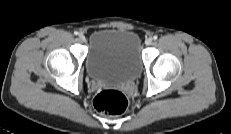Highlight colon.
Returning <instances> with one entry per match:
<instances>
[{
  "label": "colon",
  "instance_id": "5ec220e1",
  "mask_svg": "<svg viewBox=\"0 0 231 134\" xmlns=\"http://www.w3.org/2000/svg\"><path fill=\"white\" fill-rule=\"evenodd\" d=\"M93 104L99 113L105 116H117L125 112L129 101L122 91L105 89L95 95Z\"/></svg>",
  "mask_w": 231,
  "mask_h": 134
}]
</instances>
